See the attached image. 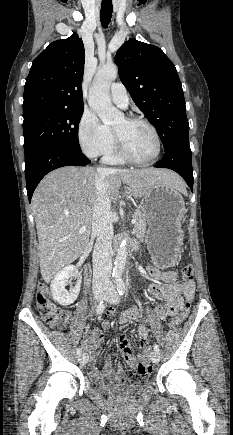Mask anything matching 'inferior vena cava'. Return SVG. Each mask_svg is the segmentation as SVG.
Here are the masks:
<instances>
[{
  "label": "inferior vena cava",
  "mask_w": 233,
  "mask_h": 435,
  "mask_svg": "<svg viewBox=\"0 0 233 435\" xmlns=\"http://www.w3.org/2000/svg\"><path fill=\"white\" fill-rule=\"evenodd\" d=\"M98 173L106 168H97ZM96 198L92 220V234L97 236L93 250V289L107 285L112 270L113 226L110 221L111 200L107 194L104 181L96 176Z\"/></svg>",
  "instance_id": "602c4592"
}]
</instances>
